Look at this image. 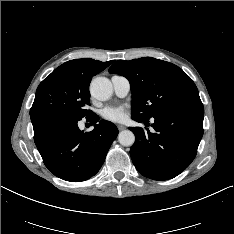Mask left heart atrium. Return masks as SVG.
Wrapping results in <instances>:
<instances>
[{"instance_id": "obj_1", "label": "left heart atrium", "mask_w": 234, "mask_h": 234, "mask_svg": "<svg viewBox=\"0 0 234 234\" xmlns=\"http://www.w3.org/2000/svg\"><path fill=\"white\" fill-rule=\"evenodd\" d=\"M102 116L110 122H124L127 118V112L123 106H107L102 110Z\"/></svg>"}]
</instances>
